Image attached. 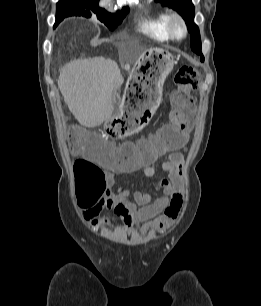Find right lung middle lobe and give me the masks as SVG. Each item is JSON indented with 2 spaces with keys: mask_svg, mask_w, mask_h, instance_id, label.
Returning <instances> with one entry per match:
<instances>
[{
  "mask_svg": "<svg viewBox=\"0 0 261 306\" xmlns=\"http://www.w3.org/2000/svg\"><path fill=\"white\" fill-rule=\"evenodd\" d=\"M99 0H74L70 2L58 3L56 7V24L68 16L90 17L91 13L97 14V18L103 22L110 30H114L123 20L127 8H123L117 14H111L98 7Z\"/></svg>",
  "mask_w": 261,
  "mask_h": 306,
  "instance_id": "1",
  "label": "right lung middle lobe"
}]
</instances>
